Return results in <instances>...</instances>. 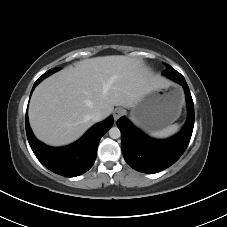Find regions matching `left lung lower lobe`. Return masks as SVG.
Segmentation results:
<instances>
[{"mask_svg":"<svg viewBox=\"0 0 227 227\" xmlns=\"http://www.w3.org/2000/svg\"><path fill=\"white\" fill-rule=\"evenodd\" d=\"M180 83L186 94L188 117L181 132L166 140L148 137L134 127L125 117L117 121L121 131V147L125 161L143 173H157L174 164L186 150L194 127V104L189 87L181 76L170 77Z\"/></svg>","mask_w":227,"mask_h":227,"instance_id":"obj_1","label":"left lung lower lobe"}]
</instances>
